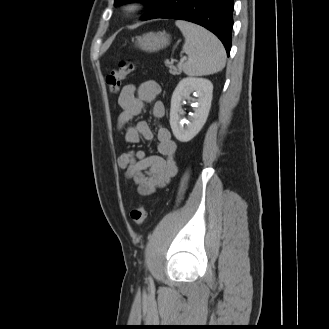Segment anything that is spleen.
<instances>
[{
    "label": "spleen",
    "mask_w": 329,
    "mask_h": 329,
    "mask_svg": "<svg viewBox=\"0 0 329 329\" xmlns=\"http://www.w3.org/2000/svg\"><path fill=\"white\" fill-rule=\"evenodd\" d=\"M176 26L182 32L185 43L183 51L188 61L183 70L189 76L210 75L225 67L226 52L219 39L203 27L178 20Z\"/></svg>",
    "instance_id": "3e777b00"
}]
</instances>
